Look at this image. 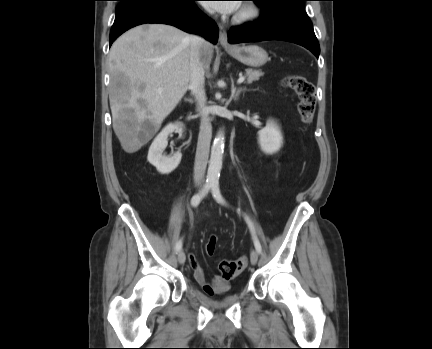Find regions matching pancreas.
<instances>
[{"label":"pancreas","mask_w":432,"mask_h":349,"mask_svg":"<svg viewBox=\"0 0 432 349\" xmlns=\"http://www.w3.org/2000/svg\"><path fill=\"white\" fill-rule=\"evenodd\" d=\"M247 84H251L253 81H258L263 75L260 70L246 69Z\"/></svg>","instance_id":"cf45deb5"}]
</instances>
